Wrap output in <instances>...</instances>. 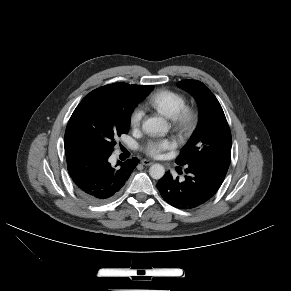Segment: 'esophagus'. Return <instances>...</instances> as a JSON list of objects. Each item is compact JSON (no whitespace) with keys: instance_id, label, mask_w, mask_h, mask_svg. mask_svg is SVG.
Wrapping results in <instances>:
<instances>
[{"instance_id":"1","label":"esophagus","mask_w":291,"mask_h":291,"mask_svg":"<svg viewBox=\"0 0 291 291\" xmlns=\"http://www.w3.org/2000/svg\"><path fill=\"white\" fill-rule=\"evenodd\" d=\"M141 163H142L144 166H150V165L153 164V162L150 161V160H148V159H143V160L141 161Z\"/></svg>"}]
</instances>
